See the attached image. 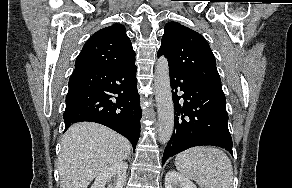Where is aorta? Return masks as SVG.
<instances>
[{"instance_id":"762f6f07","label":"aorta","mask_w":292,"mask_h":188,"mask_svg":"<svg viewBox=\"0 0 292 188\" xmlns=\"http://www.w3.org/2000/svg\"><path fill=\"white\" fill-rule=\"evenodd\" d=\"M155 100L158 113V140L167 143L174 129V104L172 100L168 60L161 56L155 66Z\"/></svg>"}]
</instances>
